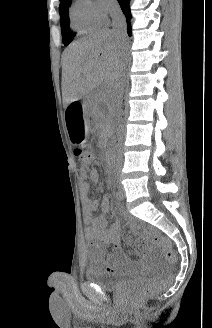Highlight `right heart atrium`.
Masks as SVG:
<instances>
[{
  "label": "right heart atrium",
  "instance_id": "d8ad5b80",
  "mask_svg": "<svg viewBox=\"0 0 212 328\" xmlns=\"http://www.w3.org/2000/svg\"><path fill=\"white\" fill-rule=\"evenodd\" d=\"M90 14L100 23H106L116 9L115 0H86Z\"/></svg>",
  "mask_w": 212,
  "mask_h": 328
}]
</instances>
